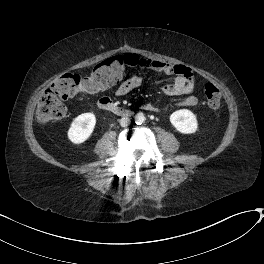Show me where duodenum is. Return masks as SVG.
<instances>
[{
	"instance_id": "obj_1",
	"label": "duodenum",
	"mask_w": 264,
	"mask_h": 264,
	"mask_svg": "<svg viewBox=\"0 0 264 264\" xmlns=\"http://www.w3.org/2000/svg\"><path fill=\"white\" fill-rule=\"evenodd\" d=\"M98 107L101 110L108 111L123 117H128L132 114V111L130 109L117 106L108 98L100 99L98 101Z\"/></svg>"
}]
</instances>
